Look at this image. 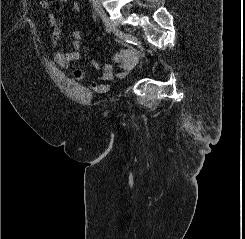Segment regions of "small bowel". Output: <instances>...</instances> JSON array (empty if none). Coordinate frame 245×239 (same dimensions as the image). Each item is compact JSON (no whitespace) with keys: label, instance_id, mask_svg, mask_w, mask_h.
<instances>
[{"label":"small bowel","instance_id":"obj_1","mask_svg":"<svg viewBox=\"0 0 245 239\" xmlns=\"http://www.w3.org/2000/svg\"><path fill=\"white\" fill-rule=\"evenodd\" d=\"M67 0H41L40 5L43 9L49 10L54 3H64ZM52 20V41L56 47L60 42V30L51 16ZM85 36L84 31H74L68 36L72 51L64 52L57 51L55 58L58 65L62 69H69L73 62L80 59L81 51L83 49V43L81 39ZM113 61L118 64V68L115 69L111 64H103L97 60L91 61V66L94 70L102 72V77L98 82L89 83L90 90L96 93H106L111 88V82L115 79H124L127 75L130 61L124 51H117L113 56ZM72 77L74 81L80 82L84 79L85 73L82 69L76 68L72 71Z\"/></svg>","mask_w":245,"mask_h":239}]
</instances>
